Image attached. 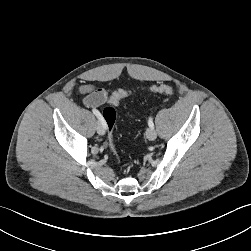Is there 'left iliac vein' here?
I'll return each mask as SVG.
<instances>
[{
	"instance_id": "4c4485c4",
	"label": "left iliac vein",
	"mask_w": 251,
	"mask_h": 251,
	"mask_svg": "<svg viewBox=\"0 0 251 251\" xmlns=\"http://www.w3.org/2000/svg\"><path fill=\"white\" fill-rule=\"evenodd\" d=\"M146 136H147V138H148L149 140L153 141V140L156 139L157 133H156V131H155L154 128H148V129L146 130Z\"/></svg>"
}]
</instances>
